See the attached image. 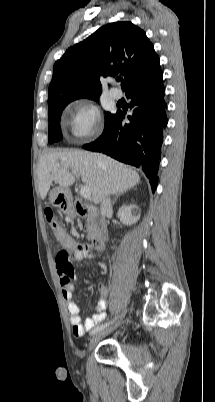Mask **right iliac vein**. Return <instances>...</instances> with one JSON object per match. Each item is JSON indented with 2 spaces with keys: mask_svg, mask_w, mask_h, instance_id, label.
Here are the masks:
<instances>
[{
  "mask_svg": "<svg viewBox=\"0 0 215 402\" xmlns=\"http://www.w3.org/2000/svg\"><path fill=\"white\" fill-rule=\"evenodd\" d=\"M122 321H123V319L121 318V320L118 321L117 323H115L113 326H110V327H108V328H106V329H103V330L97 332V333L93 336V338L91 339L90 344H89V347H88V350H89V351L92 350V349L95 347V345H96L102 338H104L106 335H108L109 333H111L112 331H114V330L122 323Z\"/></svg>",
  "mask_w": 215,
  "mask_h": 402,
  "instance_id": "obj_1",
  "label": "right iliac vein"
}]
</instances>
